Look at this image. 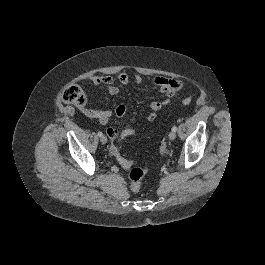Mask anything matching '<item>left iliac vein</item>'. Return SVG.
I'll use <instances>...</instances> for the list:
<instances>
[{
  "label": "left iliac vein",
  "instance_id": "left-iliac-vein-1",
  "mask_svg": "<svg viewBox=\"0 0 265 265\" xmlns=\"http://www.w3.org/2000/svg\"><path fill=\"white\" fill-rule=\"evenodd\" d=\"M176 138V133L174 132V131H171L170 133H169V139L170 140H174Z\"/></svg>",
  "mask_w": 265,
  "mask_h": 265
}]
</instances>
